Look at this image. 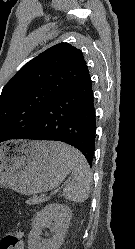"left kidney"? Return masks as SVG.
<instances>
[{
  "instance_id": "left-kidney-1",
  "label": "left kidney",
  "mask_w": 135,
  "mask_h": 249,
  "mask_svg": "<svg viewBox=\"0 0 135 249\" xmlns=\"http://www.w3.org/2000/svg\"><path fill=\"white\" fill-rule=\"evenodd\" d=\"M72 217L71 209L63 204H49L38 212L32 221L28 235V249H59L62 245ZM50 227L52 238L41 241L42 230Z\"/></svg>"
}]
</instances>
